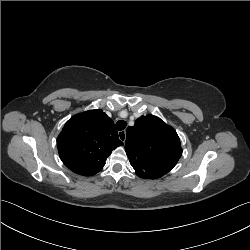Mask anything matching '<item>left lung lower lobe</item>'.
I'll return each instance as SVG.
<instances>
[{
    "label": "left lung lower lobe",
    "instance_id": "left-lung-lower-lobe-1",
    "mask_svg": "<svg viewBox=\"0 0 250 250\" xmlns=\"http://www.w3.org/2000/svg\"><path fill=\"white\" fill-rule=\"evenodd\" d=\"M148 173L145 174V178H150V179H155V178H159L157 177V174L153 173L152 171H147Z\"/></svg>",
    "mask_w": 250,
    "mask_h": 250
}]
</instances>
